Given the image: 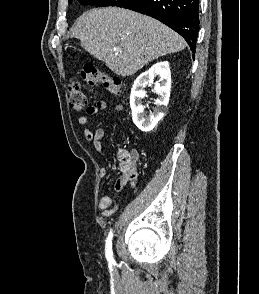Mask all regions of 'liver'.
I'll return each mask as SVG.
<instances>
[{
    "instance_id": "obj_1",
    "label": "liver",
    "mask_w": 259,
    "mask_h": 294,
    "mask_svg": "<svg viewBox=\"0 0 259 294\" xmlns=\"http://www.w3.org/2000/svg\"><path fill=\"white\" fill-rule=\"evenodd\" d=\"M70 37L79 39L88 53L122 77L134 75L149 62L186 46L178 33L160 21L117 7L83 13L71 28Z\"/></svg>"
}]
</instances>
